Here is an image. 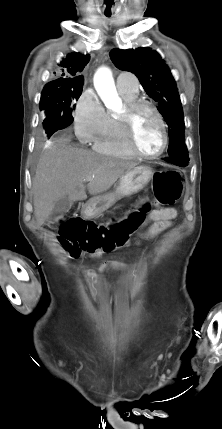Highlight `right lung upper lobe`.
I'll list each match as a JSON object with an SVG mask.
<instances>
[{
    "label": "right lung upper lobe",
    "instance_id": "1",
    "mask_svg": "<svg viewBox=\"0 0 222 429\" xmlns=\"http://www.w3.org/2000/svg\"><path fill=\"white\" fill-rule=\"evenodd\" d=\"M90 60V55L71 53L63 58L58 64L57 75L59 78L45 85L46 88H65L84 83V78L80 72ZM55 73V72H54Z\"/></svg>",
    "mask_w": 222,
    "mask_h": 429
}]
</instances>
